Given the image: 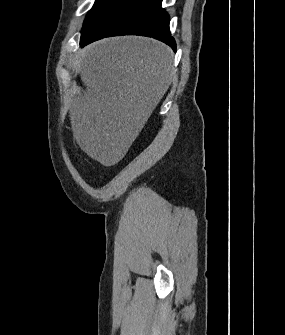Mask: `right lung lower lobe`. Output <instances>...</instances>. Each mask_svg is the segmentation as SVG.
<instances>
[{
    "instance_id": "right-lung-lower-lobe-1",
    "label": "right lung lower lobe",
    "mask_w": 285,
    "mask_h": 335,
    "mask_svg": "<svg viewBox=\"0 0 285 335\" xmlns=\"http://www.w3.org/2000/svg\"><path fill=\"white\" fill-rule=\"evenodd\" d=\"M161 1L122 0L81 39V46L104 37L141 35L160 40L176 51L169 30L170 17L161 7Z\"/></svg>"
}]
</instances>
